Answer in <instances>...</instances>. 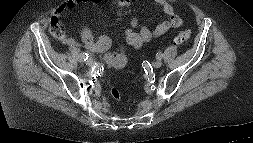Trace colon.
Masks as SVG:
<instances>
[{
	"mask_svg": "<svg viewBox=\"0 0 253 143\" xmlns=\"http://www.w3.org/2000/svg\"><path fill=\"white\" fill-rule=\"evenodd\" d=\"M50 31L52 35H54L57 38H62L64 36V27L61 24V22L58 20V18L53 17L50 21ZM190 32L189 31H181L176 37L175 42L177 44H184L190 39ZM109 63H115L117 65L124 66L126 64V61L122 59H117L115 57H109L108 58ZM110 93L112 97L116 100H119L121 98L120 91L117 88H111Z\"/></svg>",
	"mask_w": 253,
	"mask_h": 143,
	"instance_id": "5ec220e1",
	"label": "colon"
}]
</instances>
